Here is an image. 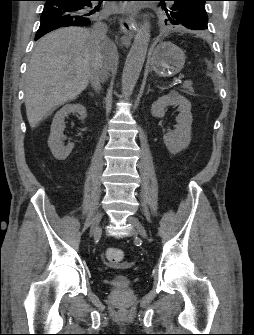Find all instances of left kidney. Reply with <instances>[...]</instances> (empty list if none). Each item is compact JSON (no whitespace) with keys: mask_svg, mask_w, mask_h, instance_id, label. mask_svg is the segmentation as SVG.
Segmentation results:
<instances>
[{"mask_svg":"<svg viewBox=\"0 0 254 335\" xmlns=\"http://www.w3.org/2000/svg\"><path fill=\"white\" fill-rule=\"evenodd\" d=\"M169 105H176L180 111L176 117L177 125L174 131H169L163 136L167 149L173 153H179L186 149L191 142V103L176 91L160 97L152 104L151 114L153 117L162 118L165 115V108Z\"/></svg>","mask_w":254,"mask_h":335,"instance_id":"obj_1","label":"left kidney"}]
</instances>
